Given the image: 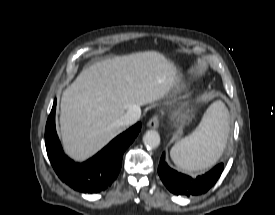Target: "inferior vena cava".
<instances>
[{
	"label": "inferior vena cava",
	"mask_w": 275,
	"mask_h": 215,
	"mask_svg": "<svg viewBox=\"0 0 275 215\" xmlns=\"http://www.w3.org/2000/svg\"><path fill=\"white\" fill-rule=\"evenodd\" d=\"M140 116H141L140 107L134 106V107L130 108L126 112V114L118 120V124L124 125V126L132 125L140 119Z\"/></svg>",
	"instance_id": "602c4592"
}]
</instances>
